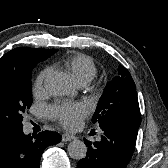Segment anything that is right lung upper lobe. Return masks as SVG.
Returning <instances> with one entry per match:
<instances>
[{
	"instance_id": "right-lung-upper-lobe-1",
	"label": "right lung upper lobe",
	"mask_w": 168,
	"mask_h": 168,
	"mask_svg": "<svg viewBox=\"0 0 168 168\" xmlns=\"http://www.w3.org/2000/svg\"><path fill=\"white\" fill-rule=\"evenodd\" d=\"M56 49L15 48L0 58V87L10 83L12 77L30 61H43ZM39 61V62H40Z\"/></svg>"
}]
</instances>
